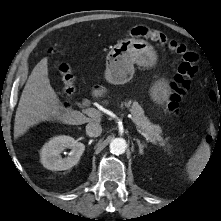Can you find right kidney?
Returning <instances> with one entry per match:
<instances>
[{"label": "right kidney", "mask_w": 221, "mask_h": 221, "mask_svg": "<svg viewBox=\"0 0 221 221\" xmlns=\"http://www.w3.org/2000/svg\"><path fill=\"white\" fill-rule=\"evenodd\" d=\"M71 149L66 158L60 153ZM85 150V145L70 136H57L46 143L41 150V163L49 170L61 171L75 166Z\"/></svg>", "instance_id": "obj_1"}]
</instances>
